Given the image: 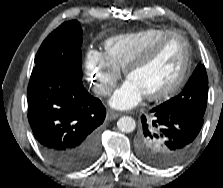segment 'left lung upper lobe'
I'll return each instance as SVG.
<instances>
[{"label": "left lung upper lobe", "mask_w": 223, "mask_h": 188, "mask_svg": "<svg viewBox=\"0 0 223 188\" xmlns=\"http://www.w3.org/2000/svg\"><path fill=\"white\" fill-rule=\"evenodd\" d=\"M208 97V77L204 65H198L188 80L183 91L174 98L159 105L161 108L170 113H188L203 117ZM154 152L162 154V147L158 143L151 145ZM140 158L153 166H158L157 163L148 160L144 157Z\"/></svg>", "instance_id": "5c2ea615"}]
</instances>
